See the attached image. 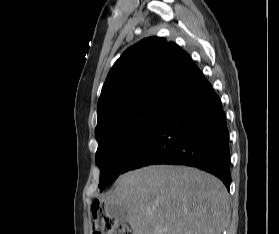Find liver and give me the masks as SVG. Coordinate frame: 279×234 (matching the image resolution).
Masks as SVG:
<instances>
[{
  "instance_id": "1",
  "label": "liver",
  "mask_w": 279,
  "mask_h": 234,
  "mask_svg": "<svg viewBox=\"0 0 279 234\" xmlns=\"http://www.w3.org/2000/svg\"><path fill=\"white\" fill-rule=\"evenodd\" d=\"M102 201L126 209L133 234H221L229 219L224 184L184 166L154 165L127 172Z\"/></svg>"
}]
</instances>
